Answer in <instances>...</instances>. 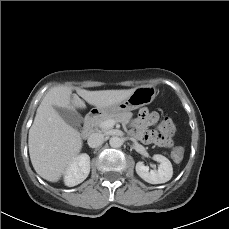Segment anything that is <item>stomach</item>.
I'll use <instances>...</instances> for the list:
<instances>
[{
    "label": "stomach",
    "instance_id": "stomach-1",
    "mask_svg": "<svg viewBox=\"0 0 229 229\" xmlns=\"http://www.w3.org/2000/svg\"><path fill=\"white\" fill-rule=\"evenodd\" d=\"M156 95L157 89L155 86H140L135 88L133 93L122 102L107 107H96V110L101 115H112L122 112H129L144 105L150 104L155 99Z\"/></svg>",
    "mask_w": 229,
    "mask_h": 229
}]
</instances>
